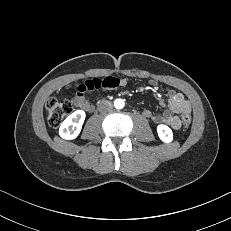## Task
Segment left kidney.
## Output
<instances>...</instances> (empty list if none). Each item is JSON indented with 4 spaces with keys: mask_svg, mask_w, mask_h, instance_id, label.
I'll return each mask as SVG.
<instances>
[{
    "mask_svg": "<svg viewBox=\"0 0 231 231\" xmlns=\"http://www.w3.org/2000/svg\"><path fill=\"white\" fill-rule=\"evenodd\" d=\"M157 133L159 138L165 143H170L173 140L172 130L166 125H158Z\"/></svg>",
    "mask_w": 231,
    "mask_h": 231,
    "instance_id": "left-kidney-1",
    "label": "left kidney"
}]
</instances>
